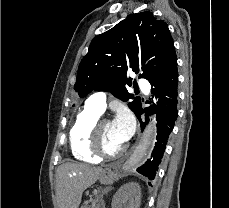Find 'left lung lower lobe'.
<instances>
[{
  "mask_svg": "<svg viewBox=\"0 0 229 208\" xmlns=\"http://www.w3.org/2000/svg\"><path fill=\"white\" fill-rule=\"evenodd\" d=\"M154 86L152 88V99L157 100V105L151 106L149 108L142 109L141 107L136 111L135 115L141 122L140 116L145 113L146 122L148 121L147 114L156 112L157 119V137L155 147L152 151L151 157L147 162L139 167L137 171L148 177V179L153 180L156 175V170L163 157L166 143L170 133L173 130L175 121L177 120V88H178V71H177V61L172 65L169 73L165 76L163 80L156 84H151ZM151 103V102H147ZM145 127V123H141V128ZM151 185V184H150Z\"/></svg>",
  "mask_w": 229,
  "mask_h": 208,
  "instance_id": "0a47b994",
  "label": "left lung lower lobe"
}]
</instances>
